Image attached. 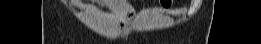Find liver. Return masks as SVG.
I'll list each match as a JSON object with an SVG mask.
<instances>
[{"instance_id":"1","label":"liver","mask_w":261,"mask_h":44,"mask_svg":"<svg viewBox=\"0 0 261 44\" xmlns=\"http://www.w3.org/2000/svg\"><path fill=\"white\" fill-rule=\"evenodd\" d=\"M103 4H108L112 8H117L121 15L125 16L131 7L126 3V0H101Z\"/></svg>"}]
</instances>
